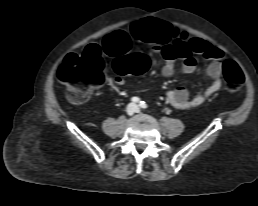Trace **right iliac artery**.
I'll return each mask as SVG.
<instances>
[{"label": "right iliac artery", "instance_id": "82829eb1", "mask_svg": "<svg viewBox=\"0 0 258 206\" xmlns=\"http://www.w3.org/2000/svg\"><path fill=\"white\" fill-rule=\"evenodd\" d=\"M131 101H133V102H139L140 99H139L138 97H132V98H131Z\"/></svg>", "mask_w": 258, "mask_h": 206}]
</instances>
